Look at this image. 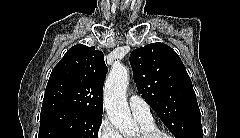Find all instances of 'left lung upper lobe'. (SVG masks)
Listing matches in <instances>:
<instances>
[{"label":"left lung upper lobe","instance_id":"1","mask_svg":"<svg viewBox=\"0 0 240 138\" xmlns=\"http://www.w3.org/2000/svg\"><path fill=\"white\" fill-rule=\"evenodd\" d=\"M139 94L176 138H203L201 114L191 79L177 53L152 43L130 55Z\"/></svg>","mask_w":240,"mask_h":138}]
</instances>
